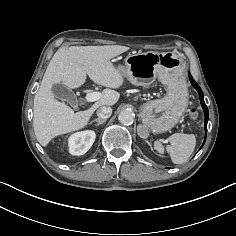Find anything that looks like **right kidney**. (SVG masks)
Segmentation results:
<instances>
[{"label": "right kidney", "mask_w": 236, "mask_h": 236, "mask_svg": "<svg viewBox=\"0 0 236 236\" xmlns=\"http://www.w3.org/2000/svg\"><path fill=\"white\" fill-rule=\"evenodd\" d=\"M94 131H82L72 134L68 139L69 152L72 155H83L93 145L95 141Z\"/></svg>", "instance_id": "obj_1"}]
</instances>
